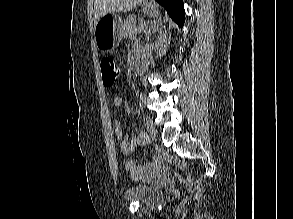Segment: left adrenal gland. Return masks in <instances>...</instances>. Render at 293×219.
<instances>
[{
	"label": "left adrenal gland",
	"instance_id": "left-adrenal-gland-1",
	"mask_svg": "<svg viewBox=\"0 0 293 219\" xmlns=\"http://www.w3.org/2000/svg\"><path fill=\"white\" fill-rule=\"evenodd\" d=\"M160 25H161L160 19H158L157 21H153L148 31L146 32V39H149L152 33H155L157 30H159Z\"/></svg>",
	"mask_w": 293,
	"mask_h": 219
}]
</instances>
